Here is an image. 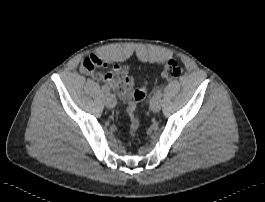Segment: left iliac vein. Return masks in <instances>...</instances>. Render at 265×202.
Here are the masks:
<instances>
[{
	"label": "left iliac vein",
	"instance_id": "left-iliac-vein-1",
	"mask_svg": "<svg viewBox=\"0 0 265 202\" xmlns=\"http://www.w3.org/2000/svg\"><path fill=\"white\" fill-rule=\"evenodd\" d=\"M150 108L153 112H159L161 109V99L154 96L150 102Z\"/></svg>",
	"mask_w": 265,
	"mask_h": 202
}]
</instances>
